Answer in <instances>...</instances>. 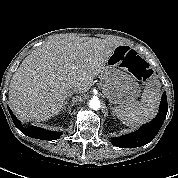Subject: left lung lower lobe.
<instances>
[{"label": "left lung lower lobe", "instance_id": "0a47b994", "mask_svg": "<svg viewBox=\"0 0 178 178\" xmlns=\"http://www.w3.org/2000/svg\"><path fill=\"white\" fill-rule=\"evenodd\" d=\"M168 111L166 93L163 92L159 113L149 123L144 124L139 130L118 138L112 139V144L120 148H135L151 142L159 132Z\"/></svg>", "mask_w": 178, "mask_h": 178}]
</instances>
